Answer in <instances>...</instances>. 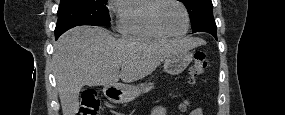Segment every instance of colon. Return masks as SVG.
<instances>
[{"label":"colon","instance_id":"1","mask_svg":"<svg viewBox=\"0 0 285 115\" xmlns=\"http://www.w3.org/2000/svg\"><path fill=\"white\" fill-rule=\"evenodd\" d=\"M207 68V59L204 52L198 51L189 68V81L194 83ZM100 108V102L93 90H86L82 94L79 115H96Z\"/></svg>","mask_w":285,"mask_h":115}]
</instances>
